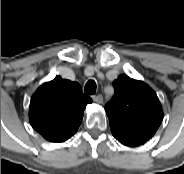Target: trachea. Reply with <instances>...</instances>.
<instances>
[{"instance_id": "obj_1", "label": "trachea", "mask_w": 184, "mask_h": 174, "mask_svg": "<svg viewBox=\"0 0 184 174\" xmlns=\"http://www.w3.org/2000/svg\"><path fill=\"white\" fill-rule=\"evenodd\" d=\"M84 93L85 94H89V95H93L96 93V83L94 80H89L85 87H84Z\"/></svg>"}]
</instances>
